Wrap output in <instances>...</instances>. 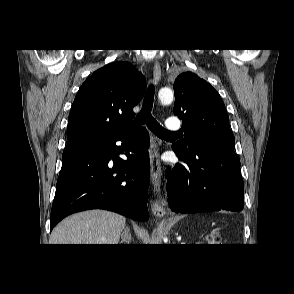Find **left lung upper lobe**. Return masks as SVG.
<instances>
[{
	"label": "left lung upper lobe",
	"mask_w": 294,
	"mask_h": 294,
	"mask_svg": "<svg viewBox=\"0 0 294 294\" xmlns=\"http://www.w3.org/2000/svg\"><path fill=\"white\" fill-rule=\"evenodd\" d=\"M174 114L183 119L185 140L174 144L181 150L195 145L234 149L229 116L219 93L195 73L184 72L174 83Z\"/></svg>",
	"instance_id": "left-lung-upper-lobe-1"
}]
</instances>
